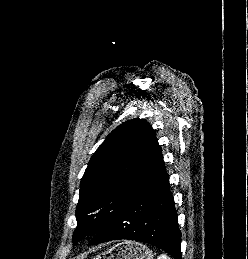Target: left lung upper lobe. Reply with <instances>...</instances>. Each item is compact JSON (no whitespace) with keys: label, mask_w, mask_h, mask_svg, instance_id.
I'll return each instance as SVG.
<instances>
[{"label":"left lung upper lobe","mask_w":248,"mask_h":259,"mask_svg":"<svg viewBox=\"0 0 248 259\" xmlns=\"http://www.w3.org/2000/svg\"><path fill=\"white\" fill-rule=\"evenodd\" d=\"M166 175L151 125L144 119L121 124L99 146L82 177L73 244L96 235Z\"/></svg>","instance_id":"obj_1"}]
</instances>
